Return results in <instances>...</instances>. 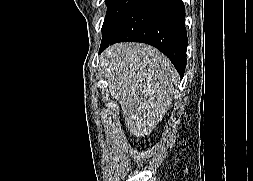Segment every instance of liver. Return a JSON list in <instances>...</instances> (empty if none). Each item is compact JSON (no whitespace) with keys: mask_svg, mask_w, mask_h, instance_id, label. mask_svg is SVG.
<instances>
[{"mask_svg":"<svg viewBox=\"0 0 253 181\" xmlns=\"http://www.w3.org/2000/svg\"><path fill=\"white\" fill-rule=\"evenodd\" d=\"M100 66L130 135L150 134L172 105L177 85L174 66L160 51L141 43L108 47Z\"/></svg>","mask_w":253,"mask_h":181,"instance_id":"6515ba94","label":"liver"}]
</instances>
